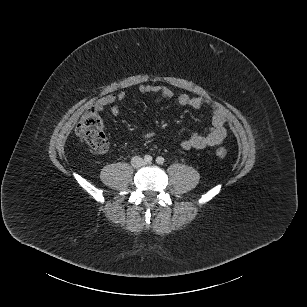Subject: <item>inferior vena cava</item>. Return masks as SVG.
<instances>
[{
  "label": "inferior vena cava",
  "mask_w": 307,
  "mask_h": 307,
  "mask_svg": "<svg viewBox=\"0 0 307 307\" xmlns=\"http://www.w3.org/2000/svg\"><path fill=\"white\" fill-rule=\"evenodd\" d=\"M131 166L133 168H140L142 166V159L139 156H134L131 159Z\"/></svg>",
  "instance_id": "602c4592"
}]
</instances>
